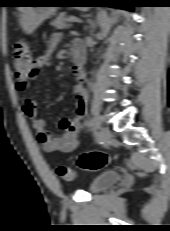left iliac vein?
Listing matches in <instances>:
<instances>
[{"label":"left iliac vein","instance_id":"obj_1","mask_svg":"<svg viewBox=\"0 0 170 231\" xmlns=\"http://www.w3.org/2000/svg\"><path fill=\"white\" fill-rule=\"evenodd\" d=\"M100 136L104 143H109L112 139V133L108 128H101Z\"/></svg>","mask_w":170,"mask_h":231}]
</instances>
